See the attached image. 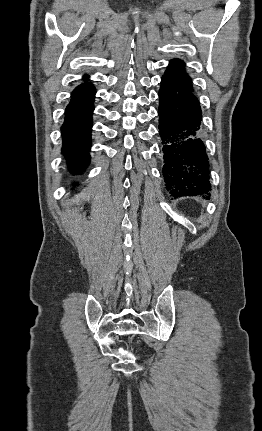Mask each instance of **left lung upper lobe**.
<instances>
[{
  "instance_id": "5c2ea615",
  "label": "left lung upper lobe",
  "mask_w": 262,
  "mask_h": 431,
  "mask_svg": "<svg viewBox=\"0 0 262 431\" xmlns=\"http://www.w3.org/2000/svg\"><path fill=\"white\" fill-rule=\"evenodd\" d=\"M163 77L193 91L191 79L184 71L183 62L178 59L171 61Z\"/></svg>"
}]
</instances>
